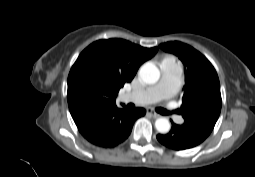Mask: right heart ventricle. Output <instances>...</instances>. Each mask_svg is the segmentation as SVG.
<instances>
[{
    "instance_id": "obj_1",
    "label": "right heart ventricle",
    "mask_w": 255,
    "mask_h": 177,
    "mask_svg": "<svg viewBox=\"0 0 255 177\" xmlns=\"http://www.w3.org/2000/svg\"><path fill=\"white\" fill-rule=\"evenodd\" d=\"M161 68H180L179 62L175 59V57L168 55L165 56L161 61Z\"/></svg>"
}]
</instances>
